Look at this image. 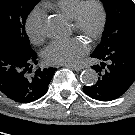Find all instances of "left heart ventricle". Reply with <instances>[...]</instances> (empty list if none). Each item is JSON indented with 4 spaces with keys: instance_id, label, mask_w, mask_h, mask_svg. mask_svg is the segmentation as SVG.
Returning a JSON list of instances; mask_svg holds the SVG:
<instances>
[{
    "instance_id": "left-heart-ventricle-1",
    "label": "left heart ventricle",
    "mask_w": 135,
    "mask_h": 135,
    "mask_svg": "<svg viewBox=\"0 0 135 135\" xmlns=\"http://www.w3.org/2000/svg\"><path fill=\"white\" fill-rule=\"evenodd\" d=\"M98 22V10L95 6H90L85 12V24L88 29H93Z\"/></svg>"
}]
</instances>
